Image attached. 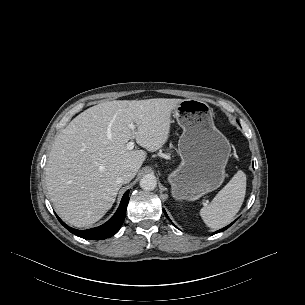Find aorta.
I'll list each match as a JSON object with an SVG mask.
<instances>
[{"label": "aorta", "instance_id": "1", "mask_svg": "<svg viewBox=\"0 0 305 305\" xmlns=\"http://www.w3.org/2000/svg\"><path fill=\"white\" fill-rule=\"evenodd\" d=\"M156 186L157 180L152 174L144 175L140 180V187L144 190H154Z\"/></svg>", "mask_w": 305, "mask_h": 305}]
</instances>
